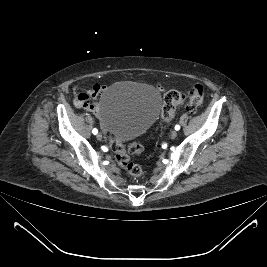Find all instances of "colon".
<instances>
[{"instance_id":"5ec220e1","label":"colon","mask_w":267,"mask_h":267,"mask_svg":"<svg viewBox=\"0 0 267 267\" xmlns=\"http://www.w3.org/2000/svg\"><path fill=\"white\" fill-rule=\"evenodd\" d=\"M204 89L200 84L193 85L186 92L178 90H169L165 93L162 106V118L165 122L173 120L176 114V109L183 103H187V108L190 112H196L203 104ZM112 148L115 153L118 165L133 177H142L143 169L132 162V156H139L143 152V146L132 141L125 145L121 141L115 140L112 142Z\"/></svg>"}]
</instances>
